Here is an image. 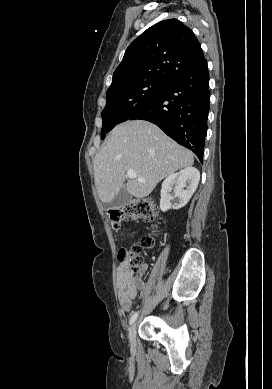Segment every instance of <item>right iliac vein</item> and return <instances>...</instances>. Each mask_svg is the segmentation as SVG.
I'll list each match as a JSON object with an SVG mask.
<instances>
[{
    "label": "right iliac vein",
    "instance_id": "1",
    "mask_svg": "<svg viewBox=\"0 0 272 389\" xmlns=\"http://www.w3.org/2000/svg\"><path fill=\"white\" fill-rule=\"evenodd\" d=\"M129 342L132 347L136 345V323L129 329Z\"/></svg>",
    "mask_w": 272,
    "mask_h": 389
}]
</instances>
